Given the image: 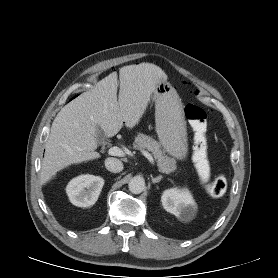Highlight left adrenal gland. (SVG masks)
Here are the masks:
<instances>
[{
    "label": "left adrenal gland",
    "mask_w": 278,
    "mask_h": 278,
    "mask_svg": "<svg viewBox=\"0 0 278 278\" xmlns=\"http://www.w3.org/2000/svg\"><path fill=\"white\" fill-rule=\"evenodd\" d=\"M163 179V176H158V177H156V178H152L151 180H152V183H159L161 180Z\"/></svg>",
    "instance_id": "a2214340"
}]
</instances>
